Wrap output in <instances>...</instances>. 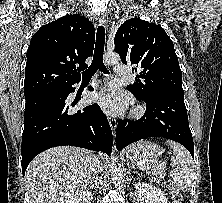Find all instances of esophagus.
<instances>
[{"mask_svg": "<svg viewBox=\"0 0 222 203\" xmlns=\"http://www.w3.org/2000/svg\"><path fill=\"white\" fill-rule=\"evenodd\" d=\"M99 25L104 26L105 28L108 26V16L106 13H102L101 16L99 17ZM110 127L115 134L116 128H117V120L110 115H107Z\"/></svg>", "mask_w": 222, "mask_h": 203, "instance_id": "34e87169", "label": "esophagus"}]
</instances>
